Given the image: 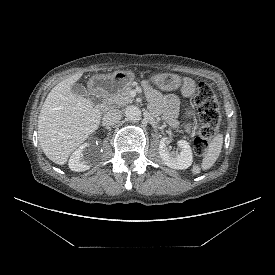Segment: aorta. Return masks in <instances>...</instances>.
<instances>
[{
  "instance_id": "aorta-1",
  "label": "aorta",
  "mask_w": 275,
  "mask_h": 275,
  "mask_svg": "<svg viewBox=\"0 0 275 275\" xmlns=\"http://www.w3.org/2000/svg\"><path fill=\"white\" fill-rule=\"evenodd\" d=\"M125 116L132 122L141 119V110L135 105H129L125 108Z\"/></svg>"
}]
</instances>
